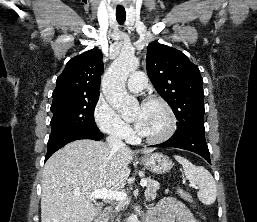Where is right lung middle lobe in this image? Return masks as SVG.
<instances>
[{
  "mask_svg": "<svg viewBox=\"0 0 257 222\" xmlns=\"http://www.w3.org/2000/svg\"><path fill=\"white\" fill-rule=\"evenodd\" d=\"M98 99L99 95L83 99L53 101L49 139L71 131L100 132L94 120V109Z\"/></svg>",
  "mask_w": 257,
  "mask_h": 222,
  "instance_id": "dd1d6c3e",
  "label": "right lung middle lobe"
}]
</instances>
